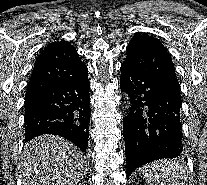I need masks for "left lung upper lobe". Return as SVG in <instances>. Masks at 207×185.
I'll list each match as a JSON object with an SVG mask.
<instances>
[{
	"instance_id": "5c2ea615",
	"label": "left lung upper lobe",
	"mask_w": 207,
	"mask_h": 185,
	"mask_svg": "<svg viewBox=\"0 0 207 185\" xmlns=\"http://www.w3.org/2000/svg\"><path fill=\"white\" fill-rule=\"evenodd\" d=\"M123 64L132 72L155 78L180 96L174 65L162 43L148 34H136L128 44Z\"/></svg>"
}]
</instances>
